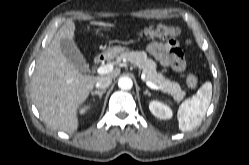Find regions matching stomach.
Instances as JSON below:
<instances>
[{
  "mask_svg": "<svg viewBox=\"0 0 249 165\" xmlns=\"http://www.w3.org/2000/svg\"><path fill=\"white\" fill-rule=\"evenodd\" d=\"M128 49L122 46H111L103 52V57L106 59H112L115 56L127 51Z\"/></svg>",
  "mask_w": 249,
  "mask_h": 165,
  "instance_id": "stomach-1",
  "label": "stomach"
}]
</instances>
